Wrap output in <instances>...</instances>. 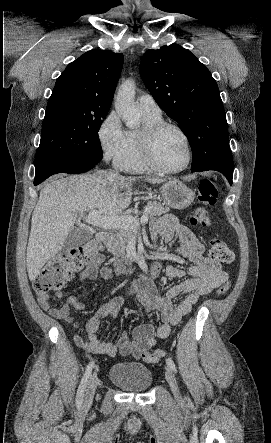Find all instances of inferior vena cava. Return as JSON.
<instances>
[{"instance_id": "602c4592", "label": "inferior vena cava", "mask_w": 271, "mask_h": 443, "mask_svg": "<svg viewBox=\"0 0 271 443\" xmlns=\"http://www.w3.org/2000/svg\"><path fill=\"white\" fill-rule=\"evenodd\" d=\"M109 176H119V174H115V172H110Z\"/></svg>"}]
</instances>
